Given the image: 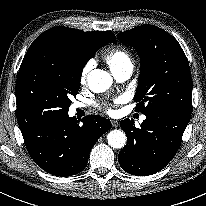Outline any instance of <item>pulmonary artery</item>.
Segmentation results:
<instances>
[{
	"mask_svg": "<svg viewBox=\"0 0 206 206\" xmlns=\"http://www.w3.org/2000/svg\"><path fill=\"white\" fill-rule=\"evenodd\" d=\"M132 71H133V67L132 66H125V67H122V68L112 72V74H113L114 78L117 81L123 82V81H126L127 79L130 78V76L132 74ZM75 107L81 108V107H84V105L81 104V103H76ZM144 119H145V116H143L141 118V120H144Z\"/></svg>",
	"mask_w": 206,
	"mask_h": 206,
	"instance_id": "obj_1",
	"label": "pulmonary artery"
}]
</instances>
